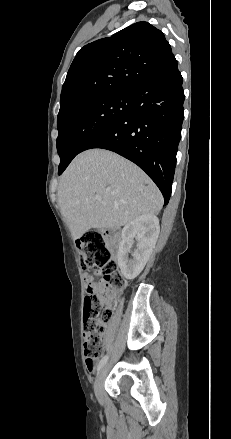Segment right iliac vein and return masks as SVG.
I'll use <instances>...</instances> for the list:
<instances>
[{
    "mask_svg": "<svg viewBox=\"0 0 231 439\" xmlns=\"http://www.w3.org/2000/svg\"><path fill=\"white\" fill-rule=\"evenodd\" d=\"M107 372L108 366L103 367L94 384V393L99 400L103 398V383L107 376Z\"/></svg>",
    "mask_w": 231,
    "mask_h": 439,
    "instance_id": "63e3f726",
    "label": "right iliac vein"
}]
</instances>
